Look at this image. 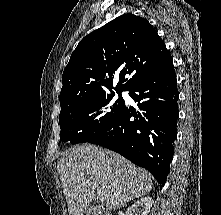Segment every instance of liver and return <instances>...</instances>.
<instances>
[{
	"instance_id": "liver-1",
	"label": "liver",
	"mask_w": 221,
	"mask_h": 215,
	"mask_svg": "<svg viewBox=\"0 0 221 215\" xmlns=\"http://www.w3.org/2000/svg\"><path fill=\"white\" fill-rule=\"evenodd\" d=\"M70 215H84L96 194L117 210L152 189L151 175L123 156L83 144L62 153L58 168Z\"/></svg>"
}]
</instances>
